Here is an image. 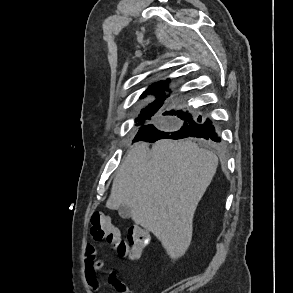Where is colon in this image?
<instances>
[{
  "label": "colon",
  "mask_w": 293,
  "mask_h": 293,
  "mask_svg": "<svg viewBox=\"0 0 293 293\" xmlns=\"http://www.w3.org/2000/svg\"><path fill=\"white\" fill-rule=\"evenodd\" d=\"M90 233L97 241L114 244L118 255L130 260L139 258L150 237L146 229L131 225L128 228L126 240H121L116 225L102 211H95L92 214Z\"/></svg>",
  "instance_id": "5ec220e1"
}]
</instances>
